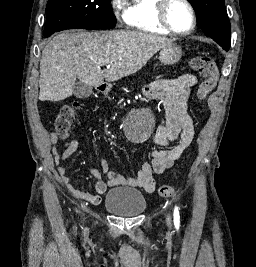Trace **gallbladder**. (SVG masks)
<instances>
[{
  "label": "gallbladder",
  "mask_w": 256,
  "mask_h": 267,
  "mask_svg": "<svg viewBox=\"0 0 256 267\" xmlns=\"http://www.w3.org/2000/svg\"><path fill=\"white\" fill-rule=\"evenodd\" d=\"M92 86H86V84H82V82H77L74 86V96L75 98H88L92 94Z\"/></svg>",
  "instance_id": "gallbladder-1"
}]
</instances>
